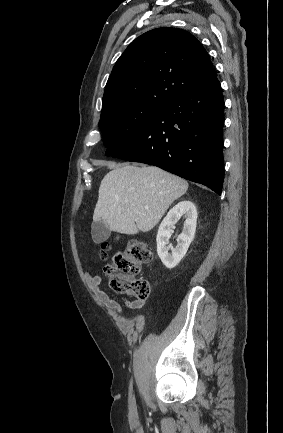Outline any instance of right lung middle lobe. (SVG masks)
I'll return each instance as SVG.
<instances>
[{
	"mask_svg": "<svg viewBox=\"0 0 283 433\" xmlns=\"http://www.w3.org/2000/svg\"><path fill=\"white\" fill-rule=\"evenodd\" d=\"M163 107L137 103L120 105L103 111L99 128L107 148L105 155L114 156L124 150Z\"/></svg>",
	"mask_w": 283,
	"mask_h": 433,
	"instance_id": "1",
	"label": "right lung middle lobe"
}]
</instances>
